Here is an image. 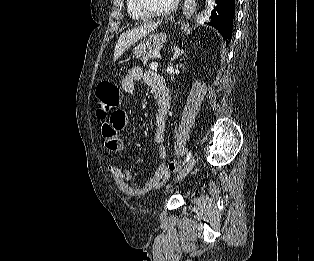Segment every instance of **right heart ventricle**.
<instances>
[{
    "mask_svg": "<svg viewBox=\"0 0 314 261\" xmlns=\"http://www.w3.org/2000/svg\"><path fill=\"white\" fill-rule=\"evenodd\" d=\"M126 8L128 14L134 20L144 21L149 18V16L139 10L136 4V0H126Z\"/></svg>",
    "mask_w": 314,
    "mask_h": 261,
    "instance_id": "1",
    "label": "right heart ventricle"
}]
</instances>
